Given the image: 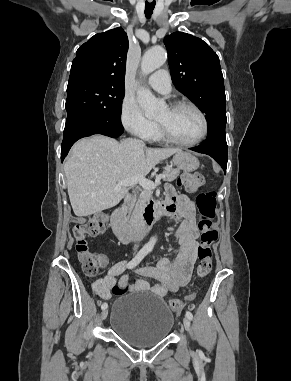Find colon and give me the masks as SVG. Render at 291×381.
Returning <instances> with one entry per match:
<instances>
[{
  "label": "colon",
  "instance_id": "colon-1",
  "mask_svg": "<svg viewBox=\"0 0 291 381\" xmlns=\"http://www.w3.org/2000/svg\"><path fill=\"white\" fill-rule=\"evenodd\" d=\"M204 180L195 173L185 174L181 178V184L188 191H195L202 186ZM196 204L199 210L198 228L200 231V245L197 248L198 265L196 273L199 277H206L212 270L213 246L218 240V230L214 226L216 216V193L206 191L198 194ZM108 223L106 213L94 214L84 222L73 227L75 239V249L83 271L88 276H95L99 270L105 266L106 259L100 254L90 251L89 239L103 232ZM112 292L115 295H122L130 292L128 285H114ZM169 306L173 312L179 313L185 307V302L181 299H172Z\"/></svg>",
  "mask_w": 291,
  "mask_h": 381
}]
</instances>
